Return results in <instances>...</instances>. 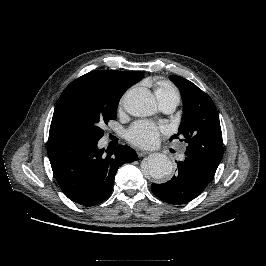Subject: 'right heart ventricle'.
<instances>
[{
	"label": "right heart ventricle",
	"instance_id": "1",
	"mask_svg": "<svg viewBox=\"0 0 266 266\" xmlns=\"http://www.w3.org/2000/svg\"><path fill=\"white\" fill-rule=\"evenodd\" d=\"M155 94L160 102L175 99L179 101L177 89L168 81H158L155 85Z\"/></svg>",
	"mask_w": 266,
	"mask_h": 266
}]
</instances>
